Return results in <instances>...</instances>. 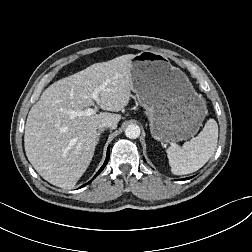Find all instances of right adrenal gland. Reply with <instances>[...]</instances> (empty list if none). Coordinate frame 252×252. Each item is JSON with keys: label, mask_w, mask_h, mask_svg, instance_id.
<instances>
[{"label": "right adrenal gland", "mask_w": 252, "mask_h": 252, "mask_svg": "<svg viewBox=\"0 0 252 252\" xmlns=\"http://www.w3.org/2000/svg\"><path fill=\"white\" fill-rule=\"evenodd\" d=\"M105 131V128H102L97 133V140L99 141L101 134Z\"/></svg>", "instance_id": "1"}]
</instances>
